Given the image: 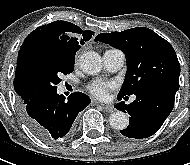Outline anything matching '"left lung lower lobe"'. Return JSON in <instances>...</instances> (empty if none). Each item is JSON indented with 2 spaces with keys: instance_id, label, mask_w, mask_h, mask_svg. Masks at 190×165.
<instances>
[{
  "instance_id": "left-lung-lower-lobe-1",
  "label": "left lung lower lobe",
  "mask_w": 190,
  "mask_h": 165,
  "mask_svg": "<svg viewBox=\"0 0 190 165\" xmlns=\"http://www.w3.org/2000/svg\"><path fill=\"white\" fill-rule=\"evenodd\" d=\"M175 93L170 88L153 87L137 92L136 100L129 105L116 104L115 108L130 115L129 126L121 134L140 139L157 132L174 107Z\"/></svg>"
}]
</instances>
